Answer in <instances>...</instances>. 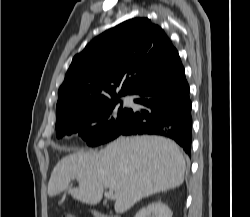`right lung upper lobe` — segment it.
Returning a JSON list of instances; mask_svg holds the SVG:
<instances>
[{
	"label": "right lung upper lobe",
	"mask_w": 250,
	"mask_h": 217,
	"mask_svg": "<svg viewBox=\"0 0 250 217\" xmlns=\"http://www.w3.org/2000/svg\"><path fill=\"white\" fill-rule=\"evenodd\" d=\"M177 58L165 32L148 18H134L105 31L74 56L58 91L56 122L117 95L137 93Z\"/></svg>",
	"instance_id": "obj_1"
}]
</instances>
